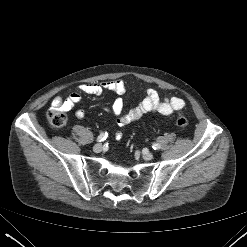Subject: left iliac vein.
Listing matches in <instances>:
<instances>
[{
    "label": "left iliac vein",
    "mask_w": 247,
    "mask_h": 247,
    "mask_svg": "<svg viewBox=\"0 0 247 247\" xmlns=\"http://www.w3.org/2000/svg\"><path fill=\"white\" fill-rule=\"evenodd\" d=\"M142 156L145 160H151L153 158V154L149 151H144Z\"/></svg>",
    "instance_id": "1"
}]
</instances>
